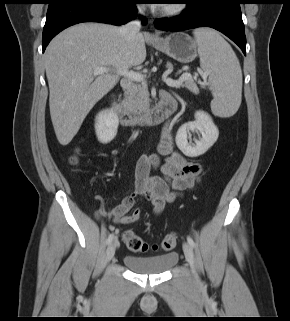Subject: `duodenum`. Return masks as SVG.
Wrapping results in <instances>:
<instances>
[{"mask_svg": "<svg viewBox=\"0 0 290 321\" xmlns=\"http://www.w3.org/2000/svg\"><path fill=\"white\" fill-rule=\"evenodd\" d=\"M110 107L122 124L126 126L156 125L168 118L177 108L176 100L169 94L162 96L160 103L146 113H135L124 108L117 95H112Z\"/></svg>", "mask_w": 290, "mask_h": 321, "instance_id": "obj_1", "label": "duodenum"}]
</instances>
